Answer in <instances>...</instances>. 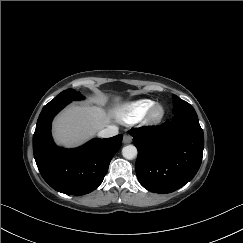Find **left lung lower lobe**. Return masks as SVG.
I'll return each mask as SVG.
<instances>
[{
    "instance_id": "obj_1",
    "label": "left lung lower lobe",
    "mask_w": 243,
    "mask_h": 243,
    "mask_svg": "<svg viewBox=\"0 0 243 243\" xmlns=\"http://www.w3.org/2000/svg\"><path fill=\"white\" fill-rule=\"evenodd\" d=\"M131 134L138 149L136 174L147 190L173 192L197 173L204 148L198 118L174 116L159 126L132 129Z\"/></svg>"
}]
</instances>
